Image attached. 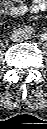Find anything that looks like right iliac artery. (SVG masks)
<instances>
[{"label":"right iliac artery","instance_id":"82829eb1","mask_svg":"<svg viewBox=\"0 0 47 129\" xmlns=\"http://www.w3.org/2000/svg\"><path fill=\"white\" fill-rule=\"evenodd\" d=\"M25 31L28 33V34H32L34 29L32 27H26L25 28Z\"/></svg>","mask_w":47,"mask_h":129}]
</instances>
